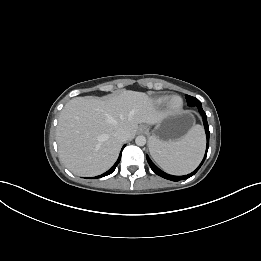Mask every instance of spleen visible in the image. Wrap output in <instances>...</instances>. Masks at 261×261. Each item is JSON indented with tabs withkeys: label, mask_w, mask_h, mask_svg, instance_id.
Listing matches in <instances>:
<instances>
[{
	"label": "spleen",
	"mask_w": 261,
	"mask_h": 261,
	"mask_svg": "<svg viewBox=\"0 0 261 261\" xmlns=\"http://www.w3.org/2000/svg\"><path fill=\"white\" fill-rule=\"evenodd\" d=\"M205 150V136L200 125L193 126L176 141L162 142L150 138L149 151L155 162L167 173L184 175L200 163Z\"/></svg>",
	"instance_id": "3e777b00"
}]
</instances>
